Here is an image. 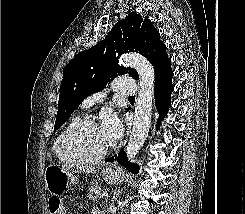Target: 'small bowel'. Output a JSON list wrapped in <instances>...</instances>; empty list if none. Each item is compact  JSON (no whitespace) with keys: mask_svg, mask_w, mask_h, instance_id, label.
Listing matches in <instances>:
<instances>
[{"mask_svg":"<svg viewBox=\"0 0 245 214\" xmlns=\"http://www.w3.org/2000/svg\"><path fill=\"white\" fill-rule=\"evenodd\" d=\"M92 214H103L99 209H93Z\"/></svg>","mask_w":245,"mask_h":214,"instance_id":"small-bowel-1","label":"small bowel"}]
</instances>
